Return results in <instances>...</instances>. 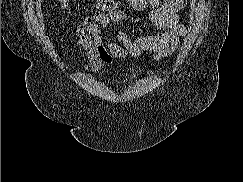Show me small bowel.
Instances as JSON below:
<instances>
[{"mask_svg":"<svg viewBox=\"0 0 243 182\" xmlns=\"http://www.w3.org/2000/svg\"><path fill=\"white\" fill-rule=\"evenodd\" d=\"M138 11L150 9V19L157 29L154 34L142 35L132 39L121 30L113 38H104L103 30L112 24L120 23L125 15L122 11L103 13L95 11L83 18L75 32L76 46L87 55L84 65L86 73H97L104 65H111L114 59L128 56L137 58L143 51L153 54L157 61L171 55L178 47L186 28L181 23L180 12L185 0H128Z\"/></svg>","mask_w":243,"mask_h":182,"instance_id":"small-bowel-1","label":"small bowel"}]
</instances>
